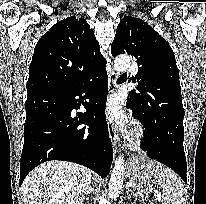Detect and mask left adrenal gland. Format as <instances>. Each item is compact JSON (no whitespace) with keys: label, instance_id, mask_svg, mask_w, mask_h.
<instances>
[{"label":"left adrenal gland","instance_id":"left-adrenal-gland-1","mask_svg":"<svg viewBox=\"0 0 206 204\" xmlns=\"http://www.w3.org/2000/svg\"><path fill=\"white\" fill-rule=\"evenodd\" d=\"M126 192H127V194L130 193V188L128 186H126Z\"/></svg>","mask_w":206,"mask_h":204}]
</instances>
